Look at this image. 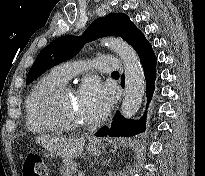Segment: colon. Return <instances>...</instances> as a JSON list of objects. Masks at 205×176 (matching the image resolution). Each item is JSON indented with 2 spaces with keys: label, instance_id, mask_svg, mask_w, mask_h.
<instances>
[{
  "label": "colon",
  "instance_id": "5ec220e1",
  "mask_svg": "<svg viewBox=\"0 0 205 176\" xmlns=\"http://www.w3.org/2000/svg\"><path fill=\"white\" fill-rule=\"evenodd\" d=\"M47 167L43 159L29 158L22 167V176H46Z\"/></svg>",
  "mask_w": 205,
  "mask_h": 176
}]
</instances>
